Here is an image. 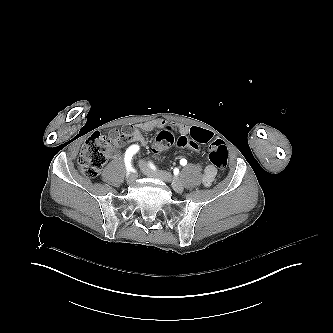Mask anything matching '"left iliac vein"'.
<instances>
[{"label":"left iliac vein","instance_id":"1","mask_svg":"<svg viewBox=\"0 0 333 333\" xmlns=\"http://www.w3.org/2000/svg\"><path fill=\"white\" fill-rule=\"evenodd\" d=\"M139 167H140V170L148 175V176H154V177H158L162 180H165V181H168L170 180L171 178L168 176V173H165V172H161V173H154L153 171H151L148 166L143 162V161H140L139 162ZM172 188L174 189L175 192L177 193H182L183 190H184V186L181 182L180 179L178 178H174L172 180Z\"/></svg>","mask_w":333,"mask_h":333}]
</instances>
